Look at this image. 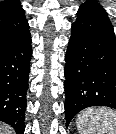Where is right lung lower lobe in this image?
I'll list each match as a JSON object with an SVG mask.
<instances>
[{
    "mask_svg": "<svg viewBox=\"0 0 116 134\" xmlns=\"http://www.w3.org/2000/svg\"><path fill=\"white\" fill-rule=\"evenodd\" d=\"M32 57L29 29L0 49V121L25 130L26 92Z\"/></svg>",
    "mask_w": 116,
    "mask_h": 134,
    "instance_id": "obj_1",
    "label": "right lung lower lobe"
}]
</instances>
